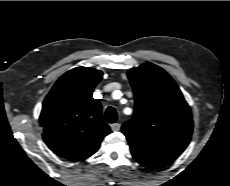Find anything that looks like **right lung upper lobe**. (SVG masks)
I'll use <instances>...</instances> for the list:
<instances>
[{
    "instance_id": "right-lung-upper-lobe-1",
    "label": "right lung upper lobe",
    "mask_w": 230,
    "mask_h": 186,
    "mask_svg": "<svg viewBox=\"0 0 230 186\" xmlns=\"http://www.w3.org/2000/svg\"><path fill=\"white\" fill-rule=\"evenodd\" d=\"M103 73L77 67L58 79L46 96L40 114L43 139L57 155L79 161L94 154L111 133L101 104L92 97Z\"/></svg>"
}]
</instances>
